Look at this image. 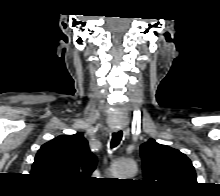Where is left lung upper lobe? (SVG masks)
Here are the masks:
<instances>
[{
	"mask_svg": "<svg viewBox=\"0 0 220 196\" xmlns=\"http://www.w3.org/2000/svg\"><path fill=\"white\" fill-rule=\"evenodd\" d=\"M146 182L162 193L177 194L196 185L192 162L179 150L149 139L140 147Z\"/></svg>",
	"mask_w": 220,
	"mask_h": 196,
	"instance_id": "left-lung-upper-lobe-1",
	"label": "left lung upper lobe"
}]
</instances>
